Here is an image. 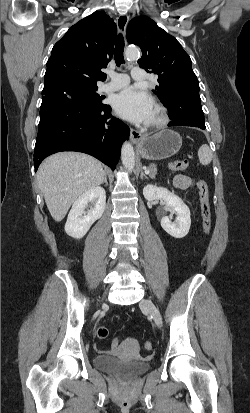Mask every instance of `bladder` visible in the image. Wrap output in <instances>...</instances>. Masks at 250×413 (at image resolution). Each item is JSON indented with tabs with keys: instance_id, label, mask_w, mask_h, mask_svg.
Returning <instances> with one entry per match:
<instances>
[{
	"instance_id": "1",
	"label": "bladder",
	"mask_w": 250,
	"mask_h": 413,
	"mask_svg": "<svg viewBox=\"0 0 250 413\" xmlns=\"http://www.w3.org/2000/svg\"><path fill=\"white\" fill-rule=\"evenodd\" d=\"M95 366L123 379H131L147 372L150 363L140 359H124L112 355H99L94 359Z\"/></svg>"
}]
</instances>
